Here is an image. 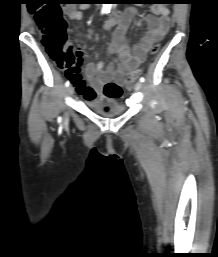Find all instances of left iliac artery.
I'll use <instances>...</instances> for the list:
<instances>
[{"label": "left iliac artery", "mask_w": 218, "mask_h": 257, "mask_svg": "<svg viewBox=\"0 0 218 257\" xmlns=\"http://www.w3.org/2000/svg\"><path fill=\"white\" fill-rule=\"evenodd\" d=\"M140 81H141V82H144V81H145V78H144V77H141V78H140Z\"/></svg>", "instance_id": "left-iliac-artery-1"}]
</instances>
